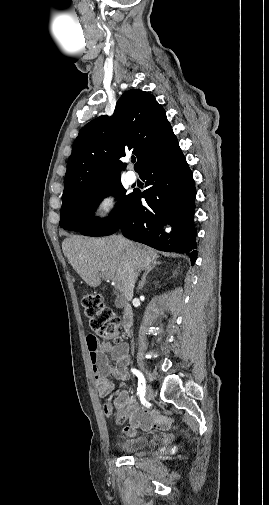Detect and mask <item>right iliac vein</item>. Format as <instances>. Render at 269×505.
Wrapping results in <instances>:
<instances>
[{
  "label": "right iliac vein",
  "mask_w": 269,
  "mask_h": 505,
  "mask_svg": "<svg viewBox=\"0 0 269 505\" xmlns=\"http://www.w3.org/2000/svg\"><path fill=\"white\" fill-rule=\"evenodd\" d=\"M154 396V393H153V390L152 388L148 385L146 388H145V397L147 400H151Z\"/></svg>",
  "instance_id": "63e3f726"
}]
</instances>
